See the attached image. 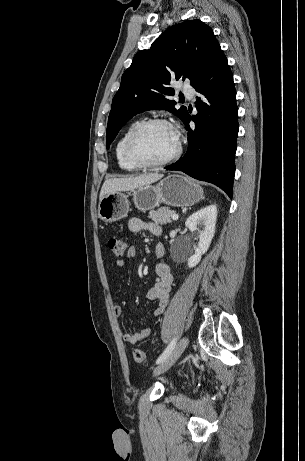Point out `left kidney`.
Returning <instances> with one entry per match:
<instances>
[{
    "label": "left kidney",
    "mask_w": 305,
    "mask_h": 461,
    "mask_svg": "<svg viewBox=\"0 0 305 461\" xmlns=\"http://www.w3.org/2000/svg\"><path fill=\"white\" fill-rule=\"evenodd\" d=\"M217 207L212 204L193 213L187 218L185 225L191 232H197L199 242L194 247V253L188 258L189 268L195 267L207 252L215 233Z\"/></svg>",
    "instance_id": "left-kidney-1"
}]
</instances>
